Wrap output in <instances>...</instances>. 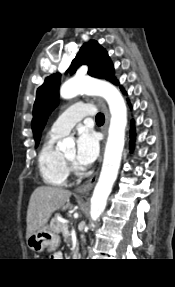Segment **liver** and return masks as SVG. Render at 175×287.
<instances>
[{
	"mask_svg": "<svg viewBox=\"0 0 175 287\" xmlns=\"http://www.w3.org/2000/svg\"><path fill=\"white\" fill-rule=\"evenodd\" d=\"M70 196L71 192L63 188L37 187L30 197L27 209L26 238L38 229L45 227L56 210H67L70 207Z\"/></svg>",
	"mask_w": 175,
	"mask_h": 287,
	"instance_id": "obj_1",
	"label": "liver"
}]
</instances>
